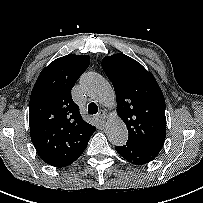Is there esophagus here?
Masks as SVG:
<instances>
[{
    "label": "esophagus",
    "mask_w": 203,
    "mask_h": 203,
    "mask_svg": "<svg viewBox=\"0 0 203 203\" xmlns=\"http://www.w3.org/2000/svg\"><path fill=\"white\" fill-rule=\"evenodd\" d=\"M97 116H98V118H99L101 121H105L106 118H107L106 112H105L104 110L99 111V113H98Z\"/></svg>",
    "instance_id": "1"
}]
</instances>
